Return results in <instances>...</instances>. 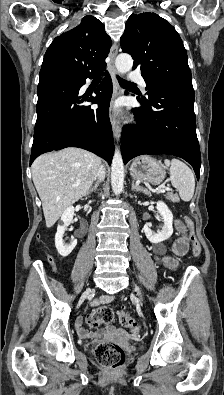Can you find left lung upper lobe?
Segmentation results:
<instances>
[{
    "label": "left lung upper lobe",
    "instance_id": "obj_1",
    "mask_svg": "<svg viewBox=\"0 0 224 395\" xmlns=\"http://www.w3.org/2000/svg\"><path fill=\"white\" fill-rule=\"evenodd\" d=\"M120 44L133 57V69L140 68L149 96L159 87L193 90L186 49L165 19L155 13L132 14Z\"/></svg>",
    "mask_w": 224,
    "mask_h": 395
}]
</instances>
